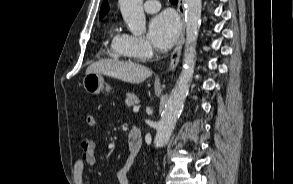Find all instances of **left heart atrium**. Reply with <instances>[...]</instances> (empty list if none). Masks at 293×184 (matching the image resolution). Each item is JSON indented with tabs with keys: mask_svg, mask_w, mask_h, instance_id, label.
Returning <instances> with one entry per match:
<instances>
[{
	"mask_svg": "<svg viewBox=\"0 0 293 184\" xmlns=\"http://www.w3.org/2000/svg\"><path fill=\"white\" fill-rule=\"evenodd\" d=\"M179 28L178 18L173 13L162 12L150 21L148 36L156 48L166 50L174 44Z\"/></svg>",
	"mask_w": 293,
	"mask_h": 184,
	"instance_id": "39dd6f15",
	"label": "left heart atrium"
}]
</instances>
